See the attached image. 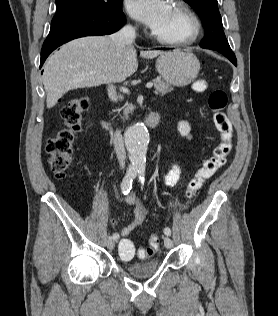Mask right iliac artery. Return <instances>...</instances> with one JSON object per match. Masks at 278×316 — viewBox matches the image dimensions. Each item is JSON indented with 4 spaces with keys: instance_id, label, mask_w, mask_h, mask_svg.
Masks as SVG:
<instances>
[{
    "instance_id": "82829eb1",
    "label": "right iliac artery",
    "mask_w": 278,
    "mask_h": 316,
    "mask_svg": "<svg viewBox=\"0 0 278 316\" xmlns=\"http://www.w3.org/2000/svg\"><path fill=\"white\" fill-rule=\"evenodd\" d=\"M138 171H139V169L136 167H133V166H131L128 169V171H127V173H126V175L123 178L122 183H121V191H122L123 195H127L129 193V191L131 190L132 182L136 178ZM113 239L114 240L119 239V235L117 233H114Z\"/></svg>"
}]
</instances>
